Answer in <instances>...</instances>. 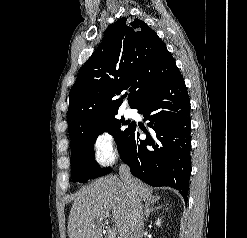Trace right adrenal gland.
I'll use <instances>...</instances> for the list:
<instances>
[{
    "instance_id": "right-adrenal-gland-1",
    "label": "right adrenal gland",
    "mask_w": 247,
    "mask_h": 238,
    "mask_svg": "<svg viewBox=\"0 0 247 238\" xmlns=\"http://www.w3.org/2000/svg\"><path fill=\"white\" fill-rule=\"evenodd\" d=\"M159 198H154L149 200L148 202L145 203L144 205V212H145V220L147 221L149 218V215L152 211L157 210L159 208H161V206H157V207H150V205L154 206L155 203H158Z\"/></svg>"
}]
</instances>
